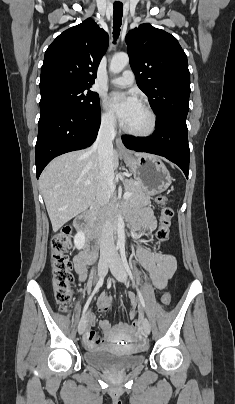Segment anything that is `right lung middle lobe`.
Segmentation results:
<instances>
[{
    "label": "right lung middle lobe",
    "mask_w": 235,
    "mask_h": 404,
    "mask_svg": "<svg viewBox=\"0 0 235 404\" xmlns=\"http://www.w3.org/2000/svg\"><path fill=\"white\" fill-rule=\"evenodd\" d=\"M88 87L66 82L40 85V111L63 109L76 114L92 112L100 107L99 96Z\"/></svg>",
    "instance_id": "right-lung-middle-lobe-1"
}]
</instances>
